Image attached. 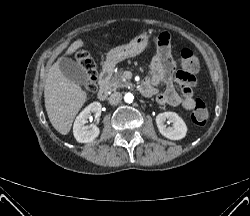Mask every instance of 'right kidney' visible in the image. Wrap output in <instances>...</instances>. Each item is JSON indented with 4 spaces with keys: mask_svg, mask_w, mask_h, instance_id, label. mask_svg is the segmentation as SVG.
Listing matches in <instances>:
<instances>
[{
    "mask_svg": "<svg viewBox=\"0 0 250 216\" xmlns=\"http://www.w3.org/2000/svg\"><path fill=\"white\" fill-rule=\"evenodd\" d=\"M101 104L99 102H93L88 105L75 119L73 125V135L75 139L80 143L92 142L98 137L100 130L95 124L85 126L87 119L92 113H95V119L99 121L101 114Z\"/></svg>",
    "mask_w": 250,
    "mask_h": 216,
    "instance_id": "ca27d5eb",
    "label": "right kidney"
}]
</instances>
